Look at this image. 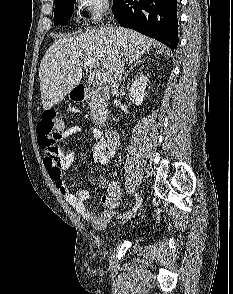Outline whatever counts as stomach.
Segmentation results:
<instances>
[{"instance_id":"obj_1","label":"stomach","mask_w":233,"mask_h":294,"mask_svg":"<svg viewBox=\"0 0 233 294\" xmlns=\"http://www.w3.org/2000/svg\"><path fill=\"white\" fill-rule=\"evenodd\" d=\"M68 94H69L70 99H72V100H75L78 97V94L74 89L71 90Z\"/></svg>"}]
</instances>
